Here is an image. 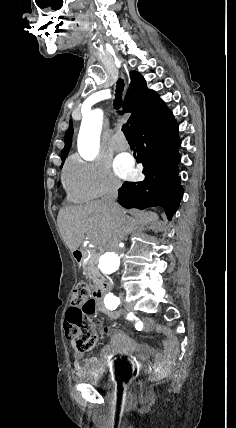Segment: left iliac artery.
<instances>
[{"label": "left iliac artery", "mask_w": 236, "mask_h": 428, "mask_svg": "<svg viewBox=\"0 0 236 428\" xmlns=\"http://www.w3.org/2000/svg\"><path fill=\"white\" fill-rule=\"evenodd\" d=\"M104 303L109 310H115L120 304V299L109 292L104 298Z\"/></svg>", "instance_id": "1"}]
</instances>
